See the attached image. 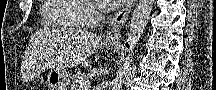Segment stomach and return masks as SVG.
<instances>
[{
  "instance_id": "obj_1",
  "label": "stomach",
  "mask_w": 216,
  "mask_h": 90,
  "mask_svg": "<svg viewBox=\"0 0 216 90\" xmlns=\"http://www.w3.org/2000/svg\"><path fill=\"white\" fill-rule=\"evenodd\" d=\"M47 81L53 90H68L70 74L64 69L53 68L48 72Z\"/></svg>"
}]
</instances>
